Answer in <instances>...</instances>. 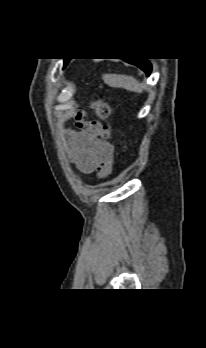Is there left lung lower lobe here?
Returning a JSON list of instances; mask_svg holds the SVG:
<instances>
[{"label":"left lung lower lobe","mask_w":206,"mask_h":348,"mask_svg":"<svg viewBox=\"0 0 206 348\" xmlns=\"http://www.w3.org/2000/svg\"><path fill=\"white\" fill-rule=\"evenodd\" d=\"M125 61L128 62V63L134 64V65L138 66L139 68H141L147 74V76L150 75L151 64H150V62L148 60H146V59H135V60H125Z\"/></svg>","instance_id":"0a47b994"}]
</instances>
